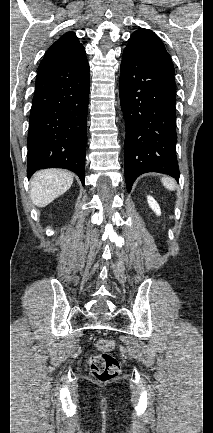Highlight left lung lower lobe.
<instances>
[{"mask_svg": "<svg viewBox=\"0 0 213 433\" xmlns=\"http://www.w3.org/2000/svg\"><path fill=\"white\" fill-rule=\"evenodd\" d=\"M120 71L128 192L135 179L146 172L164 173L178 181L174 74L150 64L128 49L123 52Z\"/></svg>", "mask_w": 213, "mask_h": 433, "instance_id": "left-lung-lower-lobe-1", "label": "left lung lower lobe"}]
</instances>
